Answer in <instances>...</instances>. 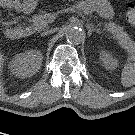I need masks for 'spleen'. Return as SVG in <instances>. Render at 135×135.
Segmentation results:
<instances>
[{"label":"spleen","mask_w":135,"mask_h":135,"mask_svg":"<svg viewBox=\"0 0 135 135\" xmlns=\"http://www.w3.org/2000/svg\"><path fill=\"white\" fill-rule=\"evenodd\" d=\"M121 84L124 87L135 85V63L126 64L121 73Z\"/></svg>","instance_id":"obj_1"}]
</instances>
